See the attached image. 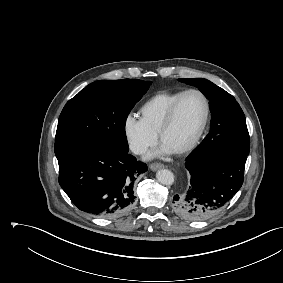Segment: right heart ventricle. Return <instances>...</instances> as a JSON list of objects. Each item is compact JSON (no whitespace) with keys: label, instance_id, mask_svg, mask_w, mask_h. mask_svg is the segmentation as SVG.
I'll list each match as a JSON object with an SVG mask.
<instances>
[{"label":"right heart ventricle","instance_id":"right-heart-ventricle-1","mask_svg":"<svg viewBox=\"0 0 283 283\" xmlns=\"http://www.w3.org/2000/svg\"><path fill=\"white\" fill-rule=\"evenodd\" d=\"M183 92L184 90L160 91L144 102L140 108V115L150 131L158 135L170 107Z\"/></svg>","mask_w":283,"mask_h":283}]
</instances>
